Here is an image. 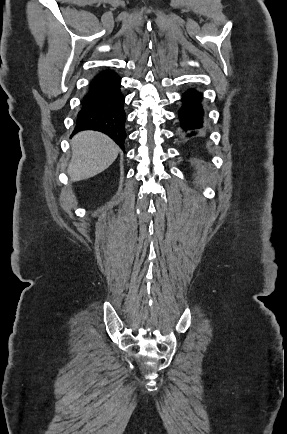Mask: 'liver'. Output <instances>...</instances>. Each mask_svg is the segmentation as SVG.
Segmentation results:
<instances>
[{"mask_svg": "<svg viewBox=\"0 0 287 434\" xmlns=\"http://www.w3.org/2000/svg\"><path fill=\"white\" fill-rule=\"evenodd\" d=\"M72 158L68 166L71 181L96 176L117 158L119 147L108 136L95 131H83L71 140Z\"/></svg>", "mask_w": 287, "mask_h": 434, "instance_id": "1", "label": "liver"}]
</instances>
